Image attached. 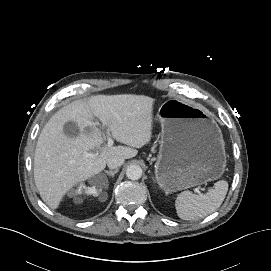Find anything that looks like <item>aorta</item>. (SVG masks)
Wrapping results in <instances>:
<instances>
[{
	"label": "aorta",
	"instance_id": "1",
	"mask_svg": "<svg viewBox=\"0 0 271 271\" xmlns=\"http://www.w3.org/2000/svg\"><path fill=\"white\" fill-rule=\"evenodd\" d=\"M126 176L130 180H138L142 176V168L136 164L130 165L126 169Z\"/></svg>",
	"mask_w": 271,
	"mask_h": 271
}]
</instances>
